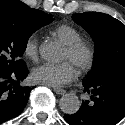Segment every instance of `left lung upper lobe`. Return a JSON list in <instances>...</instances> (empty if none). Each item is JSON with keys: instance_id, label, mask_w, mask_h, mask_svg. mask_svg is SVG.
<instances>
[{"instance_id": "obj_1", "label": "left lung upper lobe", "mask_w": 125, "mask_h": 125, "mask_svg": "<svg viewBox=\"0 0 125 125\" xmlns=\"http://www.w3.org/2000/svg\"><path fill=\"white\" fill-rule=\"evenodd\" d=\"M72 18L95 42L94 67L84 82L92 83L106 75L125 74V25L98 12L73 14Z\"/></svg>"}]
</instances>
